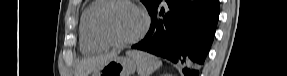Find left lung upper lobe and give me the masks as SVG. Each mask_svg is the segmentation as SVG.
Returning <instances> with one entry per match:
<instances>
[{
	"instance_id": "left-lung-upper-lobe-1",
	"label": "left lung upper lobe",
	"mask_w": 287,
	"mask_h": 76,
	"mask_svg": "<svg viewBox=\"0 0 287 76\" xmlns=\"http://www.w3.org/2000/svg\"><path fill=\"white\" fill-rule=\"evenodd\" d=\"M141 2L145 5L148 12L151 13L153 9L160 4L161 0H141Z\"/></svg>"
}]
</instances>
